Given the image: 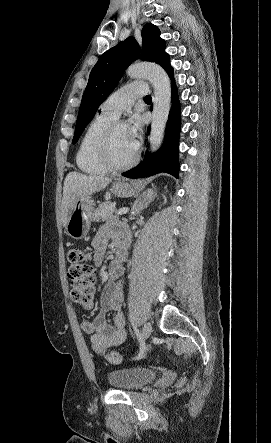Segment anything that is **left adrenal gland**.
<instances>
[{
    "mask_svg": "<svg viewBox=\"0 0 271 443\" xmlns=\"http://www.w3.org/2000/svg\"><path fill=\"white\" fill-rule=\"evenodd\" d=\"M156 196V188H153V190H146V192L142 194L141 198H137L136 202H134L132 206L133 216L141 214L142 210H144V208H147L148 204H150V202H153Z\"/></svg>",
    "mask_w": 271,
    "mask_h": 443,
    "instance_id": "left-adrenal-gland-1",
    "label": "left adrenal gland"
}]
</instances>
